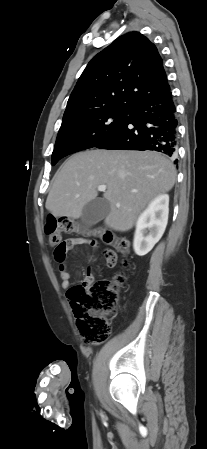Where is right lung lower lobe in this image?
<instances>
[{
    "instance_id": "98d812e1",
    "label": "right lung lower lobe",
    "mask_w": 207,
    "mask_h": 449,
    "mask_svg": "<svg viewBox=\"0 0 207 449\" xmlns=\"http://www.w3.org/2000/svg\"><path fill=\"white\" fill-rule=\"evenodd\" d=\"M176 107L171 91L140 103L132 109L121 129L97 144L101 149L152 150L176 156ZM177 163V159L174 161Z\"/></svg>"
}]
</instances>
